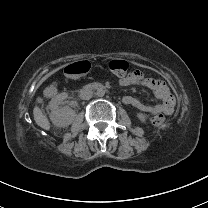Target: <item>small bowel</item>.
Instances as JSON below:
<instances>
[{
	"label": "small bowel",
	"mask_w": 208,
	"mask_h": 208,
	"mask_svg": "<svg viewBox=\"0 0 208 208\" xmlns=\"http://www.w3.org/2000/svg\"><path fill=\"white\" fill-rule=\"evenodd\" d=\"M120 83L123 86L142 85L154 91L156 98L159 100L157 104H148L136 97L125 96L123 101L125 104L133 106L150 115L166 114L169 115L174 110L175 99L169 87L158 78H146L140 71L129 73L120 77Z\"/></svg>",
	"instance_id": "1"
}]
</instances>
